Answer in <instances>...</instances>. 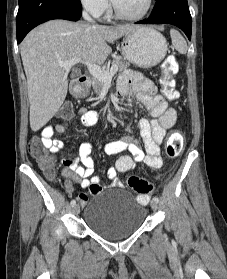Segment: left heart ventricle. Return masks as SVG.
<instances>
[{"label":"left heart ventricle","mask_w":227,"mask_h":279,"mask_svg":"<svg viewBox=\"0 0 227 279\" xmlns=\"http://www.w3.org/2000/svg\"><path fill=\"white\" fill-rule=\"evenodd\" d=\"M147 0H113L124 14L135 15L144 10Z\"/></svg>","instance_id":"left-heart-ventricle-1"}]
</instances>
